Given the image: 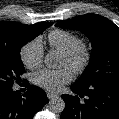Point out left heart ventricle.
<instances>
[{
	"label": "left heart ventricle",
	"instance_id": "left-heart-ventricle-1",
	"mask_svg": "<svg viewBox=\"0 0 119 119\" xmlns=\"http://www.w3.org/2000/svg\"><path fill=\"white\" fill-rule=\"evenodd\" d=\"M61 66L70 68V62L64 56L62 57L61 60Z\"/></svg>",
	"mask_w": 119,
	"mask_h": 119
}]
</instances>
